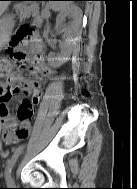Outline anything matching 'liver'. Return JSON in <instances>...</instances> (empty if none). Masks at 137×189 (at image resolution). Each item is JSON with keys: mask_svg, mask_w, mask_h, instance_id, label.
<instances>
[{"mask_svg": "<svg viewBox=\"0 0 137 189\" xmlns=\"http://www.w3.org/2000/svg\"><path fill=\"white\" fill-rule=\"evenodd\" d=\"M8 6L9 1H0V16L4 13Z\"/></svg>", "mask_w": 137, "mask_h": 189, "instance_id": "liver-1", "label": "liver"}]
</instances>
